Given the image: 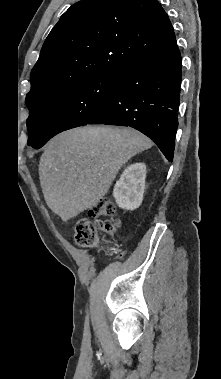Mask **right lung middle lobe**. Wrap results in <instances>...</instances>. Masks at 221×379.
I'll list each match as a JSON object with an SVG mask.
<instances>
[{
    "label": "right lung middle lobe",
    "instance_id": "right-lung-middle-lobe-1",
    "mask_svg": "<svg viewBox=\"0 0 221 379\" xmlns=\"http://www.w3.org/2000/svg\"><path fill=\"white\" fill-rule=\"evenodd\" d=\"M118 74L108 71L81 78L29 101L28 145L40 148L57 133L88 124L111 101Z\"/></svg>",
    "mask_w": 221,
    "mask_h": 379
}]
</instances>
